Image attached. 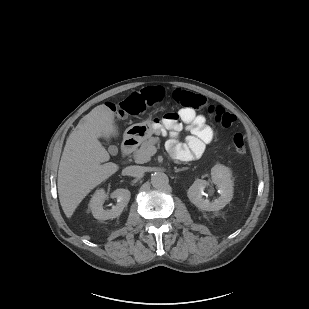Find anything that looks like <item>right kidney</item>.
Masks as SVG:
<instances>
[{
  "label": "right kidney",
  "instance_id": "right-kidney-1",
  "mask_svg": "<svg viewBox=\"0 0 309 309\" xmlns=\"http://www.w3.org/2000/svg\"><path fill=\"white\" fill-rule=\"evenodd\" d=\"M110 196L111 198L117 199V204L110 210H105L103 208V203L107 198L105 191L100 189L95 192L89 203L94 218L98 220H108L120 216L130 200L131 193L128 189H116Z\"/></svg>",
  "mask_w": 309,
  "mask_h": 309
}]
</instances>
